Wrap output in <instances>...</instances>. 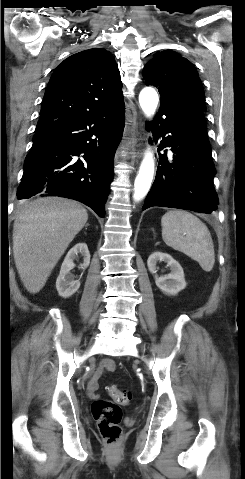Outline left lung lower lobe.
Segmentation results:
<instances>
[{
    "mask_svg": "<svg viewBox=\"0 0 245 479\" xmlns=\"http://www.w3.org/2000/svg\"><path fill=\"white\" fill-rule=\"evenodd\" d=\"M152 129L158 151L171 147L173 153L159 154L153 186L143 210L169 207L210 214L215 211L218 196L213 187L216 173L208 141L204 111L195 105L168 106L161 104ZM167 152V151H165Z\"/></svg>",
    "mask_w": 245,
    "mask_h": 479,
    "instance_id": "0a47b994",
    "label": "left lung lower lobe"
}]
</instances>
